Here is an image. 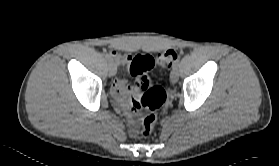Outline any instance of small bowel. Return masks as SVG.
I'll use <instances>...</instances> for the list:
<instances>
[{
    "instance_id": "c3829d8e",
    "label": "small bowel",
    "mask_w": 279,
    "mask_h": 166,
    "mask_svg": "<svg viewBox=\"0 0 279 166\" xmlns=\"http://www.w3.org/2000/svg\"><path fill=\"white\" fill-rule=\"evenodd\" d=\"M111 56L114 58L115 62L119 66L130 67V63L132 61V56L129 54L117 53L116 51H112ZM137 91V87L131 84L126 83L125 80L121 78H116L113 81L111 87V94L115 98V100L124 108H129V104L126 101L127 97H132V105L131 109H129V114L141 112V103L135 100V94ZM131 133L133 135L136 134V130L132 129Z\"/></svg>"
}]
</instances>
